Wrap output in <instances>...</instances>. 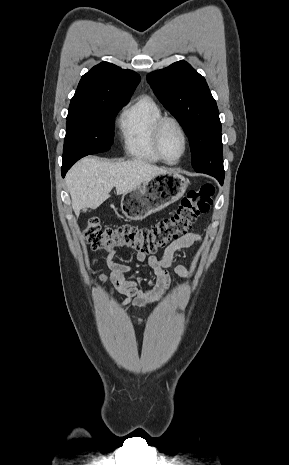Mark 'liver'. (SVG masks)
Instances as JSON below:
<instances>
[{
    "mask_svg": "<svg viewBox=\"0 0 289 465\" xmlns=\"http://www.w3.org/2000/svg\"><path fill=\"white\" fill-rule=\"evenodd\" d=\"M171 171L142 160L110 162L86 157L66 175L72 208L78 217L83 208H98L110 197L113 187L118 195L128 193L152 177Z\"/></svg>",
    "mask_w": 289,
    "mask_h": 465,
    "instance_id": "1",
    "label": "liver"
}]
</instances>
